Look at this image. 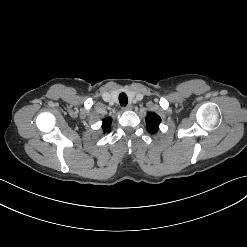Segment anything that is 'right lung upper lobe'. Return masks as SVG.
<instances>
[{"mask_svg":"<svg viewBox=\"0 0 247 247\" xmlns=\"http://www.w3.org/2000/svg\"><path fill=\"white\" fill-rule=\"evenodd\" d=\"M111 118H105L103 120L102 128L104 132H110Z\"/></svg>","mask_w":247,"mask_h":247,"instance_id":"obj_1","label":"right lung upper lobe"}]
</instances>
